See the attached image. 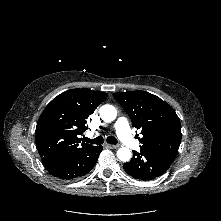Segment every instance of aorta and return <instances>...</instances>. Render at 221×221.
I'll use <instances>...</instances> for the list:
<instances>
[{
	"mask_svg": "<svg viewBox=\"0 0 221 221\" xmlns=\"http://www.w3.org/2000/svg\"><path fill=\"white\" fill-rule=\"evenodd\" d=\"M100 117L105 122H112L116 119L117 111L114 106L106 104L99 109ZM131 151L126 147H121L117 151V157L120 161L127 162L131 159Z\"/></svg>",
	"mask_w": 221,
	"mask_h": 221,
	"instance_id": "obj_1",
	"label": "aorta"
}]
</instances>
